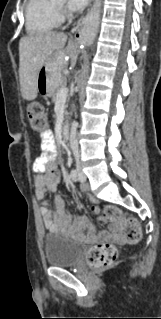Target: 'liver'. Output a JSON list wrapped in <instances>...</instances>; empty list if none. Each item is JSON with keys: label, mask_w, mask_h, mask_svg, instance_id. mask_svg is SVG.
Listing matches in <instances>:
<instances>
[{"label": "liver", "mask_w": 161, "mask_h": 319, "mask_svg": "<svg viewBox=\"0 0 161 319\" xmlns=\"http://www.w3.org/2000/svg\"><path fill=\"white\" fill-rule=\"evenodd\" d=\"M68 38L64 33L44 32L22 37L19 41V78L21 93L25 100L37 97L38 72L54 53L59 55L63 67L66 65L62 52ZM68 52L73 54L75 47L69 41Z\"/></svg>", "instance_id": "liver-1"}]
</instances>
